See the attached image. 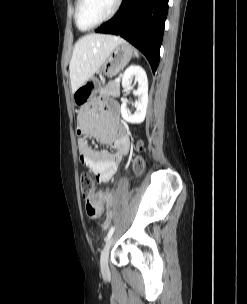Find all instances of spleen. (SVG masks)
I'll return each mask as SVG.
<instances>
[{
    "label": "spleen",
    "mask_w": 247,
    "mask_h": 304,
    "mask_svg": "<svg viewBox=\"0 0 247 304\" xmlns=\"http://www.w3.org/2000/svg\"><path fill=\"white\" fill-rule=\"evenodd\" d=\"M135 56L138 58L139 57V54H138V52L135 50Z\"/></svg>",
    "instance_id": "spleen-1"
}]
</instances>
